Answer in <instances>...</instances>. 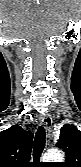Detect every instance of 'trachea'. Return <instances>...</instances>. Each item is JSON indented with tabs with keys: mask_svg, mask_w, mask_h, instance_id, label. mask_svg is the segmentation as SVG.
Instances as JSON below:
<instances>
[{
	"mask_svg": "<svg viewBox=\"0 0 81 167\" xmlns=\"http://www.w3.org/2000/svg\"><path fill=\"white\" fill-rule=\"evenodd\" d=\"M45 141H46V132L43 126H40L37 129L35 140H34V147H33V159L35 162L40 160L41 154L45 148Z\"/></svg>",
	"mask_w": 81,
	"mask_h": 167,
	"instance_id": "1",
	"label": "trachea"
}]
</instances>
